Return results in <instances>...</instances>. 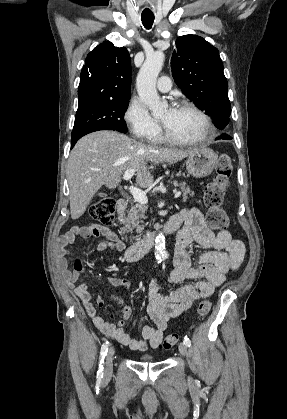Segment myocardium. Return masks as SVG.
<instances>
[{
    "mask_svg": "<svg viewBox=\"0 0 287 419\" xmlns=\"http://www.w3.org/2000/svg\"><path fill=\"white\" fill-rule=\"evenodd\" d=\"M178 108H185L197 114L204 124L205 133L197 139L184 140V139H180V138H176L172 136L163 125L164 140H166L167 142L171 144L193 146V145H199V144L205 143L214 137L215 135L214 125L211 119L209 118V116L203 110H201L198 106H196L195 104L189 101H182L181 103H179Z\"/></svg>",
    "mask_w": 287,
    "mask_h": 419,
    "instance_id": "myocardium-1",
    "label": "myocardium"
}]
</instances>
